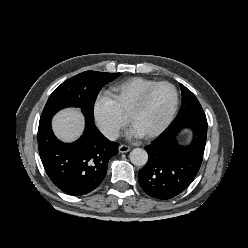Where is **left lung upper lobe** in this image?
Returning a JSON list of instances; mask_svg holds the SVG:
<instances>
[{
	"mask_svg": "<svg viewBox=\"0 0 248 248\" xmlns=\"http://www.w3.org/2000/svg\"><path fill=\"white\" fill-rule=\"evenodd\" d=\"M182 91V106L176 118L169 125L181 121H207L205 113L195 95L184 85L180 84Z\"/></svg>",
	"mask_w": 248,
	"mask_h": 248,
	"instance_id": "1",
	"label": "left lung upper lobe"
}]
</instances>
